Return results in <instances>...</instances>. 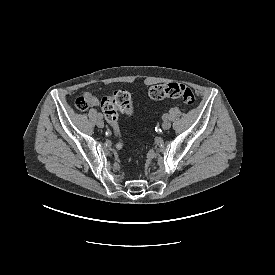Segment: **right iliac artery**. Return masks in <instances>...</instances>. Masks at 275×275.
<instances>
[{
	"label": "right iliac artery",
	"instance_id": "1",
	"mask_svg": "<svg viewBox=\"0 0 275 275\" xmlns=\"http://www.w3.org/2000/svg\"><path fill=\"white\" fill-rule=\"evenodd\" d=\"M96 116H97L98 118H101V119H102V117H103L102 113H100V112L96 113Z\"/></svg>",
	"mask_w": 275,
	"mask_h": 275
}]
</instances>
